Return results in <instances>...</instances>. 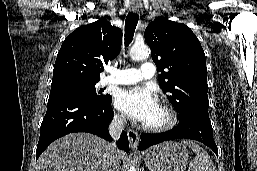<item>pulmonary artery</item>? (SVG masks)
Listing matches in <instances>:
<instances>
[{
    "instance_id": "obj_1",
    "label": "pulmonary artery",
    "mask_w": 257,
    "mask_h": 171,
    "mask_svg": "<svg viewBox=\"0 0 257 171\" xmlns=\"http://www.w3.org/2000/svg\"><path fill=\"white\" fill-rule=\"evenodd\" d=\"M155 66L151 62H143L139 69L128 68L123 70L109 69L110 75L106 76L102 83L129 85L135 84L145 79H150L155 75Z\"/></svg>"
}]
</instances>
